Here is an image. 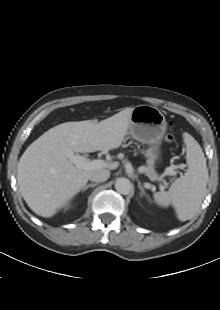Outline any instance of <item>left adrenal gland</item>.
<instances>
[{
  "label": "left adrenal gland",
  "instance_id": "left-adrenal-gland-1",
  "mask_svg": "<svg viewBox=\"0 0 220 310\" xmlns=\"http://www.w3.org/2000/svg\"><path fill=\"white\" fill-rule=\"evenodd\" d=\"M138 188L141 190V194H140L141 197L147 196L145 191H144V188L141 186V182L140 181H138Z\"/></svg>",
  "mask_w": 220,
  "mask_h": 310
}]
</instances>
